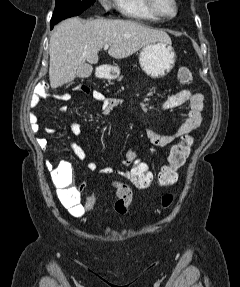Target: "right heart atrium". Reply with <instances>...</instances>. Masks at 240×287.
I'll return each instance as SVG.
<instances>
[{
  "mask_svg": "<svg viewBox=\"0 0 240 287\" xmlns=\"http://www.w3.org/2000/svg\"><path fill=\"white\" fill-rule=\"evenodd\" d=\"M99 1L105 9H109L111 7L112 1L114 0H99Z\"/></svg>",
  "mask_w": 240,
  "mask_h": 287,
  "instance_id": "1",
  "label": "right heart atrium"
}]
</instances>
